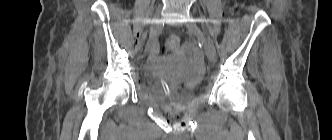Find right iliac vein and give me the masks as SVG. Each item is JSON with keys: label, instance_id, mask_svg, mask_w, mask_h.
Instances as JSON below:
<instances>
[{"label": "right iliac vein", "instance_id": "63e3f726", "mask_svg": "<svg viewBox=\"0 0 332 140\" xmlns=\"http://www.w3.org/2000/svg\"><path fill=\"white\" fill-rule=\"evenodd\" d=\"M159 18H160V7L156 10L154 17L152 18L151 21V31H153L156 27V24L159 22Z\"/></svg>", "mask_w": 332, "mask_h": 140}]
</instances>
